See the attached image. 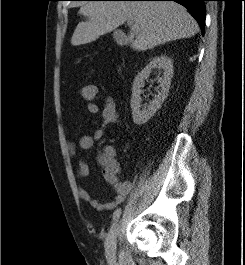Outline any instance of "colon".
Here are the masks:
<instances>
[{"instance_id": "1", "label": "colon", "mask_w": 245, "mask_h": 265, "mask_svg": "<svg viewBox=\"0 0 245 265\" xmlns=\"http://www.w3.org/2000/svg\"><path fill=\"white\" fill-rule=\"evenodd\" d=\"M97 93L98 88L95 84L84 85L80 90L81 97L88 103L95 100Z\"/></svg>"}]
</instances>
